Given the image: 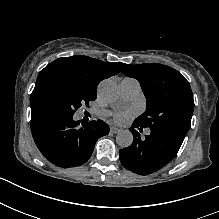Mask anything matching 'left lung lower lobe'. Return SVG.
<instances>
[{
  "label": "left lung lower lobe",
  "mask_w": 219,
  "mask_h": 219,
  "mask_svg": "<svg viewBox=\"0 0 219 219\" xmlns=\"http://www.w3.org/2000/svg\"><path fill=\"white\" fill-rule=\"evenodd\" d=\"M143 127L133 122L130 131L133 143L119 151L121 164L139 175H148L158 171L178 153L184 139L163 130H151L145 138L139 132Z\"/></svg>",
  "instance_id": "1"
}]
</instances>
